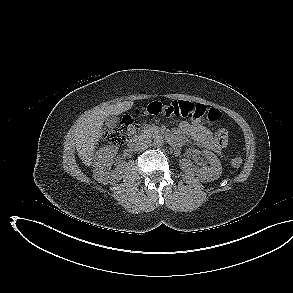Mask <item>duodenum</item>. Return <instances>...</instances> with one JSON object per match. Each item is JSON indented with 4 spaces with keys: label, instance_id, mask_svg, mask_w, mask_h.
<instances>
[{
    "label": "duodenum",
    "instance_id": "410a0bca",
    "mask_svg": "<svg viewBox=\"0 0 293 293\" xmlns=\"http://www.w3.org/2000/svg\"><path fill=\"white\" fill-rule=\"evenodd\" d=\"M166 136H167L168 140H169L173 145H177V144L179 143V138H178L177 136L172 135V134H167ZM143 140H144V136H142V135L134 136V137L130 140L128 146H129V148H131V149H135V148H137L139 145H141V143L143 142Z\"/></svg>",
    "mask_w": 293,
    "mask_h": 293
}]
</instances>
